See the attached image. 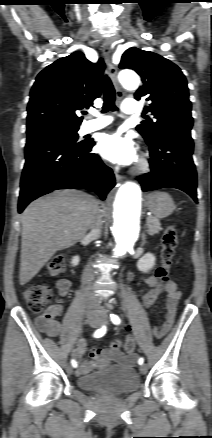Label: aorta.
Masks as SVG:
<instances>
[{"instance_id":"1","label":"aorta","mask_w":212,"mask_h":438,"mask_svg":"<svg viewBox=\"0 0 212 438\" xmlns=\"http://www.w3.org/2000/svg\"><path fill=\"white\" fill-rule=\"evenodd\" d=\"M121 85L129 90L139 87L140 80L132 71L119 74ZM112 234L116 241L112 258H121L132 250L141 227V188L134 182L122 184L112 200Z\"/></svg>"}]
</instances>
